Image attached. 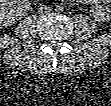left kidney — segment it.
Segmentation results:
<instances>
[{"label":"left kidney","mask_w":111,"mask_h":106,"mask_svg":"<svg viewBox=\"0 0 111 106\" xmlns=\"http://www.w3.org/2000/svg\"><path fill=\"white\" fill-rule=\"evenodd\" d=\"M104 15H106V14H104V12H102V9H98V10L95 12V17H96V18L105 19Z\"/></svg>","instance_id":"obj_1"}]
</instances>
